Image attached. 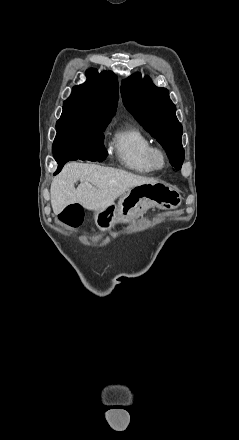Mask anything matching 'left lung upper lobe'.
I'll return each instance as SVG.
<instances>
[{"label": "left lung upper lobe", "mask_w": 239, "mask_h": 440, "mask_svg": "<svg viewBox=\"0 0 239 440\" xmlns=\"http://www.w3.org/2000/svg\"><path fill=\"white\" fill-rule=\"evenodd\" d=\"M123 103L139 123L163 146L171 165L181 169L184 161L182 125L176 117V107L165 88L156 87L140 73L122 81Z\"/></svg>", "instance_id": "5c2ea615"}]
</instances>
